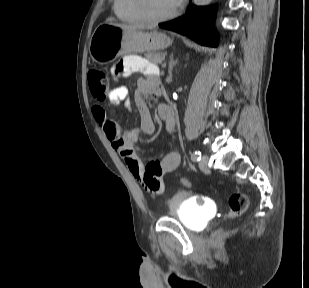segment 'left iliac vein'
I'll list each match as a JSON object with an SVG mask.
<instances>
[{"instance_id": "left-iliac-vein-1", "label": "left iliac vein", "mask_w": 309, "mask_h": 288, "mask_svg": "<svg viewBox=\"0 0 309 288\" xmlns=\"http://www.w3.org/2000/svg\"><path fill=\"white\" fill-rule=\"evenodd\" d=\"M208 159L209 157L207 155H203L199 161V167L202 171L208 170Z\"/></svg>"}]
</instances>
